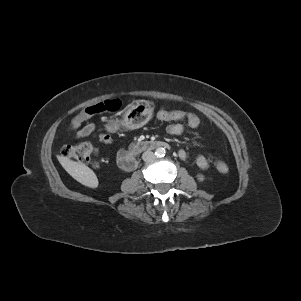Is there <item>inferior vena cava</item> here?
<instances>
[{
  "mask_svg": "<svg viewBox=\"0 0 301 301\" xmlns=\"http://www.w3.org/2000/svg\"><path fill=\"white\" fill-rule=\"evenodd\" d=\"M142 159L145 162H151L155 159V154L152 151H145L142 155Z\"/></svg>",
  "mask_w": 301,
  "mask_h": 301,
  "instance_id": "obj_1",
  "label": "inferior vena cava"
}]
</instances>
